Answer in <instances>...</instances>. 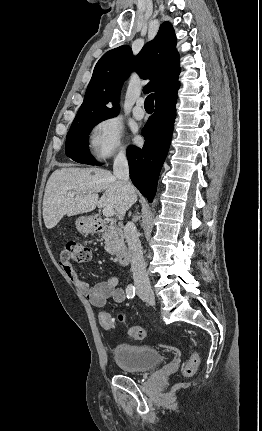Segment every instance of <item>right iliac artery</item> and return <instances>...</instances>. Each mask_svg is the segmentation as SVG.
<instances>
[{
	"mask_svg": "<svg viewBox=\"0 0 262 431\" xmlns=\"http://www.w3.org/2000/svg\"><path fill=\"white\" fill-rule=\"evenodd\" d=\"M126 293H127V298L132 299L135 296V287L132 284L128 285L126 288Z\"/></svg>",
	"mask_w": 262,
	"mask_h": 431,
	"instance_id": "1",
	"label": "right iliac artery"
}]
</instances>
